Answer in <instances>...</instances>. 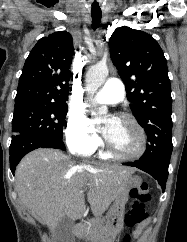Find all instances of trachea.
<instances>
[{"mask_svg": "<svg viewBox=\"0 0 187 242\" xmlns=\"http://www.w3.org/2000/svg\"><path fill=\"white\" fill-rule=\"evenodd\" d=\"M91 16H92V28L95 30L100 26L102 13L92 12Z\"/></svg>", "mask_w": 187, "mask_h": 242, "instance_id": "3493384b", "label": "trachea"}]
</instances>
